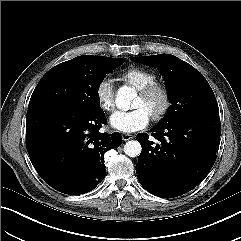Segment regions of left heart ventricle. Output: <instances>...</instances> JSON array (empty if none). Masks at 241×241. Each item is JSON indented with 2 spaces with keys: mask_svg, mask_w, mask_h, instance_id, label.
<instances>
[{
  "mask_svg": "<svg viewBox=\"0 0 241 241\" xmlns=\"http://www.w3.org/2000/svg\"><path fill=\"white\" fill-rule=\"evenodd\" d=\"M161 103H162V100L159 95H154L151 98L143 99L138 94L133 102L132 107L133 108L142 107L149 113V115H151L154 111H156L161 106Z\"/></svg>",
  "mask_w": 241,
  "mask_h": 241,
  "instance_id": "b2bd125f",
  "label": "left heart ventricle"
}]
</instances>
